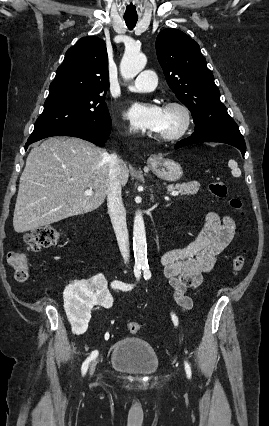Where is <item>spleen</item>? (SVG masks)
I'll use <instances>...</instances> for the list:
<instances>
[{
	"mask_svg": "<svg viewBox=\"0 0 269 426\" xmlns=\"http://www.w3.org/2000/svg\"><path fill=\"white\" fill-rule=\"evenodd\" d=\"M228 166L231 169L232 175L234 177H240L241 176V170L238 168V164L235 160L231 159L228 162Z\"/></svg>",
	"mask_w": 269,
	"mask_h": 426,
	"instance_id": "spleen-1",
	"label": "spleen"
}]
</instances>
